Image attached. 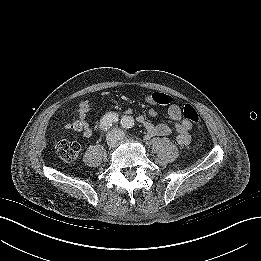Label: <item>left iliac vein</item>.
<instances>
[{"instance_id":"4c4485c4","label":"left iliac vein","mask_w":261,"mask_h":261,"mask_svg":"<svg viewBox=\"0 0 261 261\" xmlns=\"http://www.w3.org/2000/svg\"><path fill=\"white\" fill-rule=\"evenodd\" d=\"M114 133H115L116 136H117V140L122 141V140L126 139L125 133H124L123 131H121L120 129H115V130H114Z\"/></svg>"}]
</instances>
